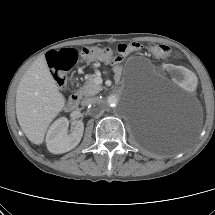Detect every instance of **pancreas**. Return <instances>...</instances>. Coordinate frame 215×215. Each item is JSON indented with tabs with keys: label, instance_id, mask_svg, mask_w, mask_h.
<instances>
[{
	"label": "pancreas",
	"instance_id": "pancreas-1",
	"mask_svg": "<svg viewBox=\"0 0 215 215\" xmlns=\"http://www.w3.org/2000/svg\"><path fill=\"white\" fill-rule=\"evenodd\" d=\"M102 90L101 85H97L94 82V76L87 75L85 84L77 91L80 97H89L97 94Z\"/></svg>",
	"mask_w": 215,
	"mask_h": 215
}]
</instances>
